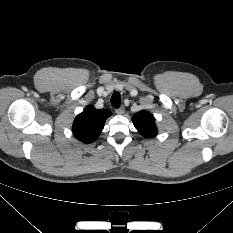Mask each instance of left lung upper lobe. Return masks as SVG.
I'll return each instance as SVG.
<instances>
[{"label": "left lung upper lobe", "instance_id": "1", "mask_svg": "<svg viewBox=\"0 0 233 233\" xmlns=\"http://www.w3.org/2000/svg\"><path fill=\"white\" fill-rule=\"evenodd\" d=\"M138 132L144 137L152 138L157 134L154 116L146 111L136 113L132 118Z\"/></svg>", "mask_w": 233, "mask_h": 233}]
</instances>
